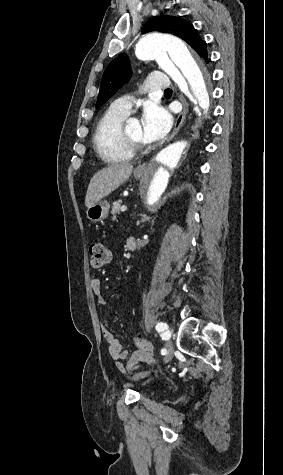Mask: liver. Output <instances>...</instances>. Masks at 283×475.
<instances>
[{"label":"liver","instance_id":"6515ba94","mask_svg":"<svg viewBox=\"0 0 283 475\" xmlns=\"http://www.w3.org/2000/svg\"><path fill=\"white\" fill-rule=\"evenodd\" d=\"M132 170V164H111V166H107V168L97 172L90 180L85 198V206L90 208V206H94L96 202H100L105 196H109L111 192H114L116 188L124 184L125 180L130 178Z\"/></svg>","mask_w":283,"mask_h":475}]
</instances>
